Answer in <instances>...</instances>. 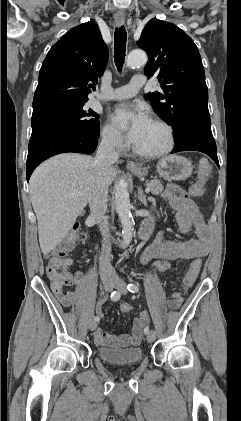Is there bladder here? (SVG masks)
<instances>
[{"instance_id":"31cf9c89","label":"bladder","mask_w":241,"mask_h":421,"mask_svg":"<svg viewBox=\"0 0 241 421\" xmlns=\"http://www.w3.org/2000/svg\"><path fill=\"white\" fill-rule=\"evenodd\" d=\"M97 354L103 361L113 365H131L142 360L143 351L140 347L111 348L99 347Z\"/></svg>"}]
</instances>
